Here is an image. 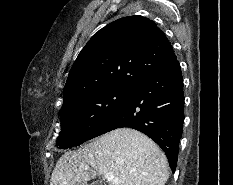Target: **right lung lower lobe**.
Wrapping results in <instances>:
<instances>
[{"label": "right lung lower lobe", "mask_w": 233, "mask_h": 185, "mask_svg": "<svg viewBox=\"0 0 233 185\" xmlns=\"http://www.w3.org/2000/svg\"><path fill=\"white\" fill-rule=\"evenodd\" d=\"M183 123V77L176 60L134 84L89 139L120 127L134 128L163 149L174 172Z\"/></svg>", "instance_id": "98d812e1"}]
</instances>
